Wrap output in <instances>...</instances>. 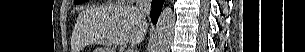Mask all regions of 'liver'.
Segmentation results:
<instances>
[{"instance_id": "obj_1", "label": "liver", "mask_w": 305, "mask_h": 52, "mask_svg": "<svg viewBox=\"0 0 305 52\" xmlns=\"http://www.w3.org/2000/svg\"><path fill=\"white\" fill-rule=\"evenodd\" d=\"M79 22L87 41L107 46L139 44L148 27L136 7L119 4L91 7Z\"/></svg>"}]
</instances>
